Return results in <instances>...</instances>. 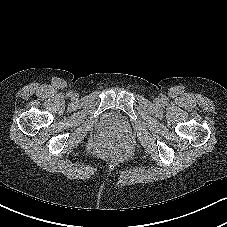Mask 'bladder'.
Here are the masks:
<instances>
[{"instance_id": "1", "label": "bladder", "mask_w": 227, "mask_h": 227, "mask_svg": "<svg viewBox=\"0 0 227 227\" xmlns=\"http://www.w3.org/2000/svg\"><path fill=\"white\" fill-rule=\"evenodd\" d=\"M102 127L108 130L125 131L128 127L125 119L116 112H108L102 119Z\"/></svg>"}]
</instances>
